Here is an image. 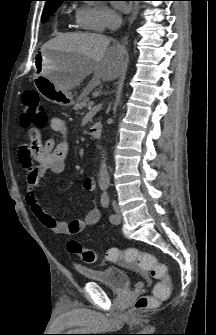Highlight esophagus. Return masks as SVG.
<instances>
[{"label":"esophagus","mask_w":216,"mask_h":335,"mask_svg":"<svg viewBox=\"0 0 216 335\" xmlns=\"http://www.w3.org/2000/svg\"><path fill=\"white\" fill-rule=\"evenodd\" d=\"M134 19V12H132V14L129 17V23H131Z\"/></svg>","instance_id":"1"}]
</instances>
